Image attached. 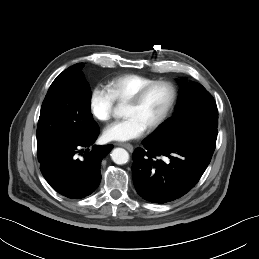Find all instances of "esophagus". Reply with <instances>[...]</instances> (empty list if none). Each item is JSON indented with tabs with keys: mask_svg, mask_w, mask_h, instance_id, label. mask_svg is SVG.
Here are the masks:
<instances>
[{
	"mask_svg": "<svg viewBox=\"0 0 259 259\" xmlns=\"http://www.w3.org/2000/svg\"><path fill=\"white\" fill-rule=\"evenodd\" d=\"M115 145L117 146H121L126 148L128 151L132 152L134 147L131 144H127V143H116Z\"/></svg>",
	"mask_w": 259,
	"mask_h": 259,
	"instance_id": "1",
	"label": "esophagus"
}]
</instances>
